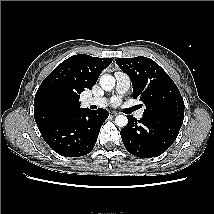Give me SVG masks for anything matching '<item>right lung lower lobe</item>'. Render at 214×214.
<instances>
[{"instance_id": "right-lung-lower-lobe-1", "label": "right lung lower lobe", "mask_w": 214, "mask_h": 214, "mask_svg": "<svg viewBox=\"0 0 214 214\" xmlns=\"http://www.w3.org/2000/svg\"><path fill=\"white\" fill-rule=\"evenodd\" d=\"M108 115L105 109H79L56 121L41 135L56 153L65 157L83 156L94 148Z\"/></svg>"}]
</instances>
